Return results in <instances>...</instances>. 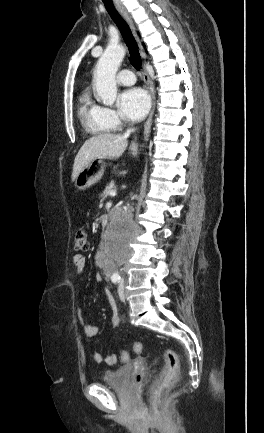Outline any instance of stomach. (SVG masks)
Returning <instances> with one entry per match:
<instances>
[{
  "mask_svg": "<svg viewBox=\"0 0 264 433\" xmlns=\"http://www.w3.org/2000/svg\"><path fill=\"white\" fill-rule=\"evenodd\" d=\"M105 164L101 159H94L78 174L75 186L79 190H86L100 181L104 173Z\"/></svg>",
  "mask_w": 264,
  "mask_h": 433,
  "instance_id": "obj_1",
  "label": "stomach"
}]
</instances>
